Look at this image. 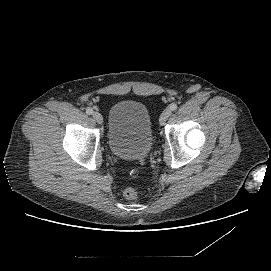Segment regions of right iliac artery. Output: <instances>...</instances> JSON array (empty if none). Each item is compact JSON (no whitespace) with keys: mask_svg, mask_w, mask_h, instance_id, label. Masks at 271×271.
Returning a JSON list of instances; mask_svg holds the SVG:
<instances>
[{"mask_svg":"<svg viewBox=\"0 0 271 271\" xmlns=\"http://www.w3.org/2000/svg\"><path fill=\"white\" fill-rule=\"evenodd\" d=\"M86 113H87L88 115L93 114L92 108H87V109H86Z\"/></svg>","mask_w":271,"mask_h":271,"instance_id":"right-iliac-artery-1","label":"right iliac artery"}]
</instances>
